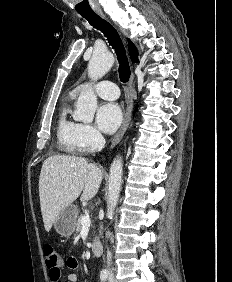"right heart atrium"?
I'll return each instance as SVG.
<instances>
[{
	"instance_id": "obj_1",
	"label": "right heart atrium",
	"mask_w": 232,
	"mask_h": 282,
	"mask_svg": "<svg viewBox=\"0 0 232 282\" xmlns=\"http://www.w3.org/2000/svg\"><path fill=\"white\" fill-rule=\"evenodd\" d=\"M78 143L83 151H91L96 149L103 141L100 132L90 124L81 123L78 127Z\"/></svg>"
}]
</instances>
